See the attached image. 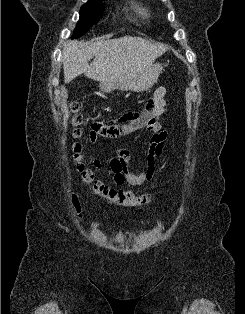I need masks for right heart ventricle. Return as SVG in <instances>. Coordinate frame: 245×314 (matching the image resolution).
Returning a JSON list of instances; mask_svg holds the SVG:
<instances>
[{
  "label": "right heart ventricle",
  "instance_id": "e07e8e85",
  "mask_svg": "<svg viewBox=\"0 0 245 314\" xmlns=\"http://www.w3.org/2000/svg\"><path fill=\"white\" fill-rule=\"evenodd\" d=\"M145 11H146V10H144V9L142 10L143 13H144Z\"/></svg>",
  "mask_w": 245,
  "mask_h": 314
}]
</instances>
